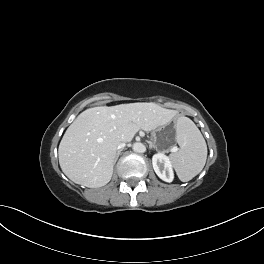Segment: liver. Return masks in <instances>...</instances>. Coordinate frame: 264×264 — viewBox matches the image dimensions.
<instances>
[{"instance_id": "liver-1", "label": "liver", "mask_w": 264, "mask_h": 264, "mask_svg": "<svg viewBox=\"0 0 264 264\" xmlns=\"http://www.w3.org/2000/svg\"><path fill=\"white\" fill-rule=\"evenodd\" d=\"M173 117L172 110L154 103L89 108L78 115L60 142V167L76 184L102 187L111 180L119 142H130L139 130H154Z\"/></svg>"}]
</instances>
